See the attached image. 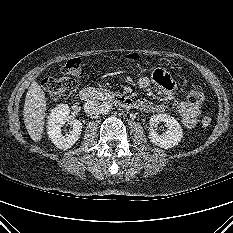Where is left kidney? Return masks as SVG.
<instances>
[{
	"label": "left kidney",
	"mask_w": 233,
	"mask_h": 233,
	"mask_svg": "<svg viewBox=\"0 0 233 233\" xmlns=\"http://www.w3.org/2000/svg\"><path fill=\"white\" fill-rule=\"evenodd\" d=\"M159 122H164L167 127V131L162 135L154 130ZM149 125V139L153 144L168 149L181 142L183 136L182 127L174 117L168 114H155L150 118Z\"/></svg>",
	"instance_id": "1"
}]
</instances>
